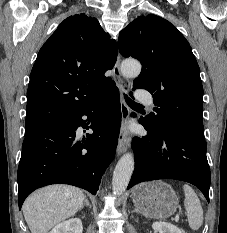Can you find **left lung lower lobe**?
<instances>
[{"mask_svg": "<svg viewBox=\"0 0 227 233\" xmlns=\"http://www.w3.org/2000/svg\"><path fill=\"white\" fill-rule=\"evenodd\" d=\"M139 122L147 130V135L133 138L135 169L127 189L144 181L176 179L197 186L209 202L210 168L206 141L171 126L152 131L143 118Z\"/></svg>", "mask_w": 227, "mask_h": 233, "instance_id": "1", "label": "left lung lower lobe"}]
</instances>
